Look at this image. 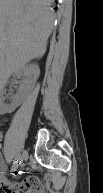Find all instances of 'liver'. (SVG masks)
I'll list each match as a JSON object with an SVG mask.
<instances>
[{"instance_id":"1","label":"liver","mask_w":103,"mask_h":193,"mask_svg":"<svg viewBox=\"0 0 103 193\" xmlns=\"http://www.w3.org/2000/svg\"><path fill=\"white\" fill-rule=\"evenodd\" d=\"M52 0H0V78L10 75L47 49L54 13Z\"/></svg>"}]
</instances>
